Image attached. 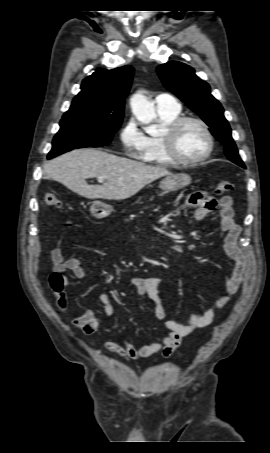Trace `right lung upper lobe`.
<instances>
[{
  "mask_svg": "<svg viewBox=\"0 0 270 453\" xmlns=\"http://www.w3.org/2000/svg\"><path fill=\"white\" fill-rule=\"evenodd\" d=\"M133 71L131 66L112 70L98 68L83 80L81 91L63 116L95 114L122 120L124 101L131 87Z\"/></svg>",
  "mask_w": 270,
  "mask_h": 453,
  "instance_id": "right-lung-upper-lobe-1",
  "label": "right lung upper lobe"
}]
</instances>
